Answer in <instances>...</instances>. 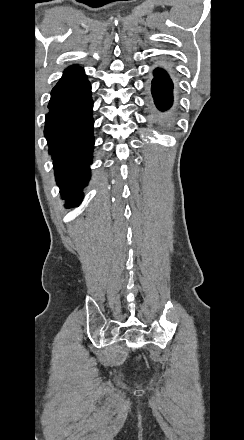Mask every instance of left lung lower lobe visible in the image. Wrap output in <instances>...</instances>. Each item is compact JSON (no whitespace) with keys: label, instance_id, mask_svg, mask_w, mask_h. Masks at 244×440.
Returning a JSON list of instances; mask_svg holds the SVG:
<instances>
[{"label":"left lung lower lobe","instance_id":"left-lung-lower-lobe-1","mask_svg":"<svg viewBox=\"0 0 244 440\" xmlns=\"http://www.w3.org/2000/svg\"><path fill=\"white\" fill-rule=\"evenodd\" d=\"M152 96L156 107L164 112L168 110L173 103V83L168 74L162 69L154 71V79L152 81ZM148 108L152 123L164 131H170L174 126V117L172 114H158L156 113L149 100Z\"/></svg>","mask_w":244,"mask_h":440}]
</instances>
